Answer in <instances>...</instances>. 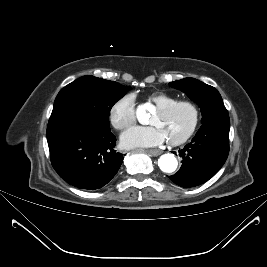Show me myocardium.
I'll list each match as a JSON object with an SVG mask.
<instances>
[{
	"label": "myocardium",
	"mask_w": 267,
	"mask_h": 267,
	"mask_svg": "<svg viewBox=\"0 0 267 267\" xmlns=\"http://www.w3.org/2000/svg\"><path fill=\"white\" fill-rule=\"evenodd\" d=\"M181 106H187L192 110V112H193V121H192V124L189 127V129L181 137L176 138V139H167V142L170 145H174V146L185 143L187 140H189L193 136V134L197 130L199 122H200V116H201L199 107L192 101L179 100V101L173 102L171 104L165 105L163 107H160L157 110L161 114H168L171 111H173L174 109H176L178 107H181Z\"/></svg>",
	"instance_id": "myocardium-1"
}]
</instances>
